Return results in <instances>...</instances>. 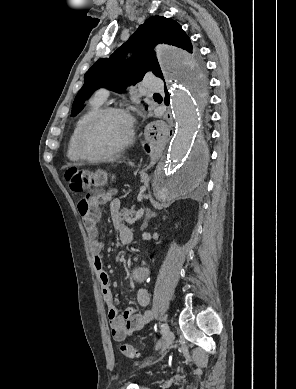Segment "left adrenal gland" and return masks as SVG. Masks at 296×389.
Segmentation results:
<instances>
[{
  "label": "left adrenal gland",
  "instance_id": "left-adrenal-gland-1",
  "mask_svg": "<svg viewBox=\"0 0 296 389\" xmlns=\"http://www.w3.org/2000/svg\"><path fill=\"white\" fill-rule=\"evenodd\" d=\"M157 214L155 213V212H152L149 208H147L146 209V211H145V220H144V222H143V224H142V226H141V231H143V230H145L146 228H147V226H148V221L152 218V217H154V216H156Z\"/></svg>",
  "mask_w": 296,
  "mask_h": 389
}]
</instances>
